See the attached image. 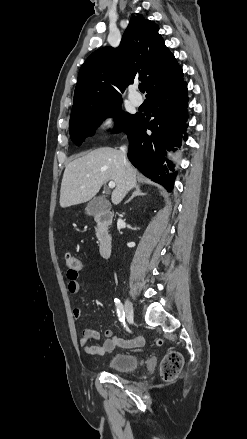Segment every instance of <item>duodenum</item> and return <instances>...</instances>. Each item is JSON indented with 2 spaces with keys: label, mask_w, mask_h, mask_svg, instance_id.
Wrapping results in <instances>:
<instances>
[{
  "label": "duodenum",
  "mask_w": 247,
  "mask_h": 439,
  "mask_svg": "<svg viewBox=\"0 0 247 439\" xmlns=\"http://www.w3.org/2000/svg\"><path fill=\"white\" fill-rule=\"evenodd\" d=\"M97 223V235L99 242V252L102 257H109L112 250V236L109 233V226L112 223V213L104 211L95 215Z\"/></svg>",
  "instance_id": "obj_1"
}]
</instances>
